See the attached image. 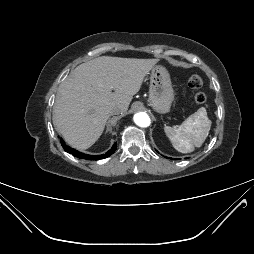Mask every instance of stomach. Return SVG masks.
<instances>
[{
    "instance_id": "1",
    "label": "stomach",
    "mask_w": 254,
    "mask_h": 254,
    "mask_svg": "<svg viewBox=\"0 0 254 254\" xmlns=\"http://www.w3.org/2000/svg\"><path fill=\"white\" fill-rule=\"evenodd\" d=\"M149 74V105L158 113H168L174 100L170 75L161 65L154 66Z\"/></svg>"
}]
</instances>
